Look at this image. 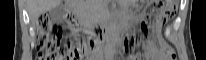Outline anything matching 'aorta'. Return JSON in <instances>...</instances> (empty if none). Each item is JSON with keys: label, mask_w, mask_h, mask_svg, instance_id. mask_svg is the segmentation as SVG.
I'll list each match as a JSON object with an SVG mask.
<instances>
[{"label": "aorta", "mask_w": 206, "mask_h": 60, "mask_svg": "<svg viewBox=\"0 0 206 60\" xmlns=\"http://www.w3.org/2000/svg\"><path fill=\"white\" fill-rule=\"evenodd\" d=\"M105 36H106V47L110 48V51H112L113 49V23L112 21H109L106 26Z\"/></svg>", "instance_id": "1"}]
</instances>
